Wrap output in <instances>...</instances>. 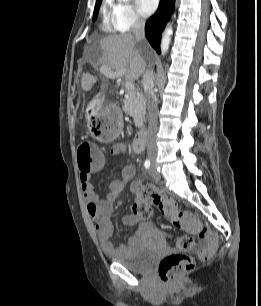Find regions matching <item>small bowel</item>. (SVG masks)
<instances>
[{
    "mask_svg": "<svg viewBox=\"0 0 261 306\" xmlns=\"http://www.w3.org/2000/svg\"><path fill=\"white\" fill-rule=\"evenodd\" d=\"M111 153L113 156H123L127 154V146L125 143L119 142L112 146ZM106 166V161H102L90 170L81 171L79 174V182L83 198L85 200V207L88 217L94 224L97 240L104 253L108 255H127L129 249L135 244L133 240L129 246L120 244L115 246L111 239L116 233V227L111 221L113 213V203L122 190L124 183L134 176V168L128 164L123 168L122 179L113 180L109 185V192L105 197H100L91 183V175L102 171ZM130 189L135 194H139L140 182L132 181ZM139 222V218L135 214H130L123 217V223L126 226H134Z\"/></svg>",
    "mask_w": 261,
    "mask_h": 306,
    "instance_id": "obj_1",
    "label": "small bowel"
}]
</instances>
